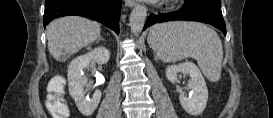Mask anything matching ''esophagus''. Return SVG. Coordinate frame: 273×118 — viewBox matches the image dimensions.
<instances>
[{"instance_id": "34e87169", "label": "esophagus", "mask_w": 273, "mask_h": 118, "mask_svg": "<svg viewBox=\"0 0 273 118\" xmlns=\"http://www.w3.org/2000/svg\"><path fill=\"white\" fill-rule=\"evenodd\" d=\"M124 3L128 7H134L135 5H137V1L136 0H125Z\"/></svg>"}]
</instances>
